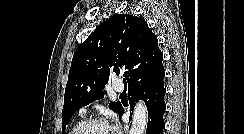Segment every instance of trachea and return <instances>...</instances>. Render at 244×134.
<instances>
[{
  "mask_svg": "<svg viewBox=\"0 0 244 134\" xmlns=\"http://www.w3.org/2000/svg\"><path fill=\"white\" fill-rule=\"evenodd\" d=\"M125 95V92L121 93L120 96H124Z\"/></svg>",
  "mask_w": 244,
  "mask_h": 134,
  "instance_id": "obj_1",
  "label": "trachea"
}]
</instances>
